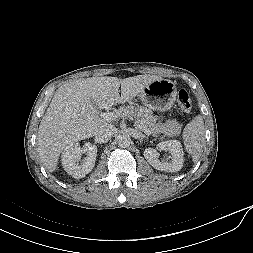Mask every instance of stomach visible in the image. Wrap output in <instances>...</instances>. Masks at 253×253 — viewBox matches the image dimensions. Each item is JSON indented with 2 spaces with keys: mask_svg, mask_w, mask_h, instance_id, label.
Returning a JSON list of instances; mask_svg holds the SVG:
<instances>
[{
  "mask_svg": "<svg viewBox=\"0 0 253 253\" xmlns=\"http://www.w3.org/2000/svg\"><path fill=\"white\" fill-rule=\"evenodd\" d=\"M176 95L177 88L175 83L162 78L151 82L140 93V98L149 109L163 112L173 106Z\"/></svg>",
  "mask_w": 253,
  "mask_h": 253,
  "instance_id": "0dacf381",
  "label": "stomach"
}]
</instances>
